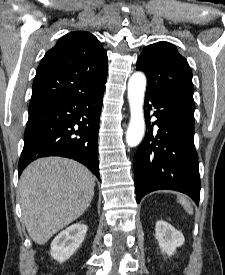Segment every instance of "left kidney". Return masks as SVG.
<instances>
[{"mask_svg":"<svg viewBox=\"0 0 225 275\" xmlns=\"http://www.w3.org/2000/svg\"><path fill=\"white\" fill-rule=\"evenodd\" d=\"M155 231V237L162 253L169 256L173 255L176 248L185 242L183 234L165 221H157Z\"/></svg>","mask_w":225,"mask_h":275,"instance_id":"left-kidney-1","label":"left kidney"}]
</instances>
